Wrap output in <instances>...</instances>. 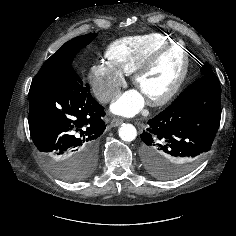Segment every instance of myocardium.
<instances>
[{
    "label": "myocardium",
    "instance_id": "myocardium-1",
    "mask_svg": "<svg viewBox=\"0 0 236 236\" xmlns=\"http://www.w3.org/2000/svg\"><path fill=\"white\" fill-rule=\"evenodd\" d=\"M178 45H180L182 48L181 71L175 82L165 93L157 97L147 98V102L151 106H162L166 104L179 92L183 86L189 71V54L184 43L181 41H172L171 43L157 49L150 56H148L133 72L132 82L135 86H138L141 77L144 76L165 53Z\"/></svg>",
    "mask_w": 236,
    "mask_h": 236
}]
</instances>
